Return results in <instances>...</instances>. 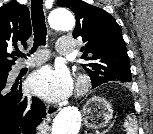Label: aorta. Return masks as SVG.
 I'll return each mask as SVG.
<instances>
[{
    "label": "aorta",
    "mask_w": 153,
    "mask_h": 134,
    "mask_svg": "<svg viewBox=\"0 0 153 134\" xmlns=\"http://www.w3.org/2000/svg\"><path fill=\"white\" fill-rule=\"evenodd\" d=\"M50 26L56 31H69L75 25L73 15L66 9H56L50 15ZM81 115L77 108L66 107L55 117L51 134H78Z\"/></svg>",
    "instance_id": "obj_1"
}]
</instances>
